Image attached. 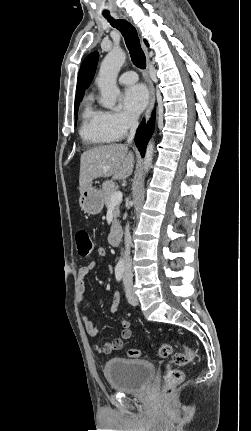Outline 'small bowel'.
I'll return each mask as SVG.
<instances>
[{"label":"small bowel","mask_w":251,"mask_h":431,"mask_svg":"<svg viewBox=\"0 0 251 431\" xmlns=\"http://www.w3.org/2000/svg\"><path fill=\"white\" fill-rule=\"evenodd\" d=\"M98 254L101 257H104L106 255V249L103 247L98 248ZM97 266L96 262H90L86 265H82L79 267L77 271V279H76V301L78 305H82L83 299H84V293H85V279L88 276V274L95 269ZM119 295L118 293L114 294L112 304L110 307V310L113 314L118 313L119 311ZM82 320L84 323V326L86 328V331L89 336L96 337L98 335V326L95 323V321L89 317L86 314L82 315ZM121 332L120 335L103 345H95L94 349L102 354H111L114 351L120 350L123 347L124 341L131 338L132 332H131V323L129 320L125 318H121Z\"/></svg>","instance_id":"c3829d8e"}]
</instances>
